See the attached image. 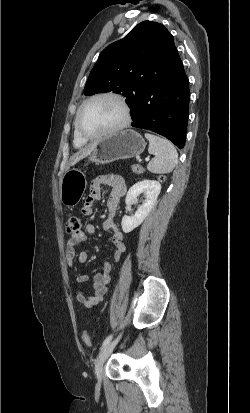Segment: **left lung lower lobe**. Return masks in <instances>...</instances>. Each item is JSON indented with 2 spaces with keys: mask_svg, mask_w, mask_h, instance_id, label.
<instances>
[{
  "mask_svg": "<svg viewBox=\"0 0 250 413\" xmlns=\"http://www.w3.org/2000/svg\"><path fill=\"white\" fill-rule=\"evenodd\" d=\"M189 81L173 45L164 68L146 79L130 106L132 126L151 130L182 149L189 114Z\"/></svg>",
  "mask_w": 250,
  "mask_h": 413,
  "instance_id": "1",
  "label": "left lung lower lobe"
}]
</instances>
